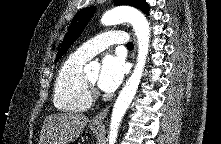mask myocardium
<instances>
[{"label": "myocardium", "instance_id": "myocardium-1", "mask_svg": "<svg viewBox=\"0 0 221 144\" xmlns=\"http://www.w3.org/2000/svg\"><path fill=\"white\" fill-rule=\"evenodd\" d=\"M84 79H85V83H86V87L89 93L90 98H92L93 96L96 95V90H95V83H93L92 81H90L87 77V75L84 74Z\"/></svg>", "mask_w": 221, "mask_h": 144}]
</instances>
